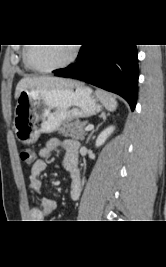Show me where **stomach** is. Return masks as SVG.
<instances>
[{"label":"stomach","instance_id":"1","mask_svg":"<svg viewBox=\"0 0 166 267\" xmlns=\"http://www.w3.org/2000/svg\"><path fill=\"white\" fill-rule=\"evenodd\" d=\"M103 103L90 88L24 89L14 111L13 128L23 144L35 143L42 133H51L63 123L99 113Z\"/></svg>","mask_w":166,"mask_h":267}]
</instances>
